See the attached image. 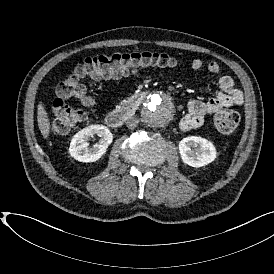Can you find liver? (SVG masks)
<instances>
[{
	"label": "liver",
	"mask_w": 274,
	"mask_h": 274,
	"mask_svg": "<svg viewBox=\"0 0 274 274\" xmlns=\"http://www.w3.org/2000/svg\"><path fill=\"white\" fill-rule=\"evenodd\" d=\"M37 122L41 135L44 139H48L51 132V120L42 100L39 101L37 106Z\"/></svg>",
	"instance_id": "liver-1"
}]
</instances>
